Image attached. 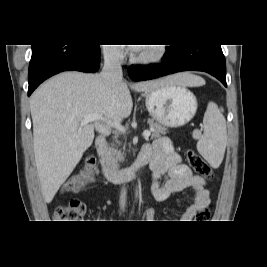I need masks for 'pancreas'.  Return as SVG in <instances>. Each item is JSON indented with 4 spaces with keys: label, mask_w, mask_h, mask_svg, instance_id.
Instances as JSON below:
<instances>
[{
    "label": "pancreas",
    "mask_w": 267,
    "mask_h": 267,
    "mask_svg": "<svg viewBox=\"0 0 267 267\" xmlns=\"http://www.w3.org/2000/svg\"><path fill=\"white\" fill-rule=\"evenodd\" d=\"M148 124L152 129V138L160 137L167 132L166 127L154 122L153 120H148ZM105 160L112 168H118V162H122L124 160V153H121L113 148H108L105 152Z\"/></svg>",
    "instance_id": "pancreas-1"
}]
</instances>
